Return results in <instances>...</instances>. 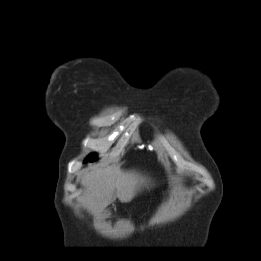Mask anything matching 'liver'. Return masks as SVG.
Instances as JSON below:
<instances>
[{"label":"liver","mask_w":261,"mask_h":261,"mask_svg":"<svg viewBox=\"0 0 261 261\" xmlns=\"http://www.w3.org/2000/svg\"><path fill=\"white\" fill-rule=\"evenodd\" d=\"M145 183V178L139 174L124 172L117 166H93L84 170L81 177L85 187L81 203L91 212L101 213L116 198L130 202Z\"/></svg>","instance_id":"liver-1"}]
</instances>
